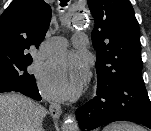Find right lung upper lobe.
Instances as JSON below:
<instances>
[{
	"instance_id": "1",
	"label": "right lung upper lobe",
	"mask_w": 151,
	"mask_h": 131,
	"mask_svg": "<svg viewBox=\"0 0 151 131\" xmlns=\"http://www.w3.org/2000/svg\"><path fill=\"white\" fill-rule=\"evenodd\" d=\"M51 19V8L44 0H14L0 17V54L25 55L39 47Z\"/></svg>"
}]
</instances>
